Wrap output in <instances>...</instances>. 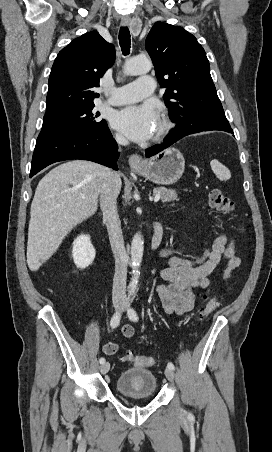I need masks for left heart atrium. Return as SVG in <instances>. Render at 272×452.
I'll return each mask as SVG.
<instances>
[{"mask_svg":"<svg viewBox=\"0 0 272 452\" xmlns=\"http://www.w3.org/2000/svg\"><path fill=\"white\" fill-rule=\"evenodd\" d=\"M158 114L151 104L128 106L118 111L114 126L133 141L149 139L157 126Z\"/></svg>","mask_w":272,"mask_h":452,"instance_id":"39dd6f15","label":"left heart atrium"}]
</instances>
